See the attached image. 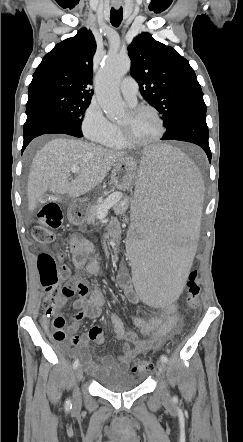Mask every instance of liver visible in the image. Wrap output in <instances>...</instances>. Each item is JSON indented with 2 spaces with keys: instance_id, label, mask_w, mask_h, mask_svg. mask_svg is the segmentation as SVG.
<instances>
[{
  "instance_id": "liver-1",
  "label": "liver",
  "mask_w": 243,
  "mask_h": 442,
  "mask_svg": "<svg viewBox=\"0 0 243 442\" xmlns=\"http://www.w3.org/2000/svg\"><path fill=\"white\" fill-rule=\"evenodd\" d=\"M125 153L70 138H55L46 143L32 161L28 177V208L33 211L38 199L51 191L78 198L102 183L107 173ZM80 168L70 182L71 169Z\"/></svg>"
}]
</instances>
